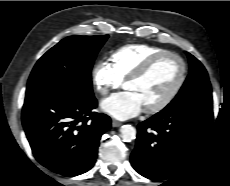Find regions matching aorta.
<instances>
[{"label":"aorta","mask_w":230,"mask_h":186,"mask_svg":"<svg viewBox=\"0 0 230 186\" xmlns=\"http://www.w3.org/2000/svg\"><path fill=\"white\" fill-rule=\"evenodd\" d=\"M120 132L124 142H130L136 138V129L132 125H123Z\"/></svg>","instance_id":"762f6f07"}]
</instances>
